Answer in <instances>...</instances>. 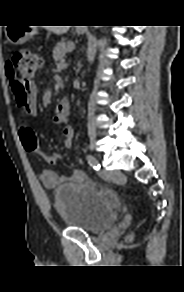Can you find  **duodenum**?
Here are the masks:
<instances>
[{"label": "duodenum", "instance_id": "1", "mask_svg": "<svg viewBox=\"0 0 184 292\" xmlns=\"http://www.w3.org/2000/svg\"><path fill=\"white\" fill-rule=\"evenodd\" d=\"M70 102L68 99H62L56 104V115L59 118H64L68 115Z\"/></svg>", "mask_w": 184, "mask_h": 292}]
</instances>
